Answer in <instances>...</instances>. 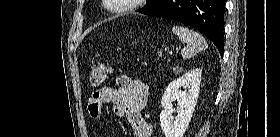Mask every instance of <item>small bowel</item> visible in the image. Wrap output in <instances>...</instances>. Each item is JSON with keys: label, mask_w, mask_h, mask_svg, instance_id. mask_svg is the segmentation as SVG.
Segmentation results:
<instances>
[{"label": "small bowel", "mask_w": 280, "mask_h": 137, "mask_svg": "<svg viewBox=\"0 0 280 137\" xmlns=\"http://www.w3.org/2000/svg\"><path fill=\"white\" fill-rule=\"evenodd\" d=\"M115 81L116 88L105 86L92 91L88 102L90 117L99 121L102 107L110 104L115 116L128 121L135 137H150L151 125L142 116L149 97L148 86L126 74H119Z\"/></svg>", "instance_id": "c3829d8e"}]
</instances>
